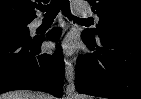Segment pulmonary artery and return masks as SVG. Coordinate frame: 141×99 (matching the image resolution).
I'll return each instance as SVG.
<instances>
[{"instance_id":"obj_1","label":"pulmonary artery","mask_w":141,"mask_h":99,"mask_svg":"<svg viewBox=\"0 0 141 99\" xmlns=\"http://www.w3.org/2000/svg\"><path fill=\"white\" fill-rule=\"evenodd\" d=\"M73 9H74V12L76 14H80V15H88L89 14L88 10L84 6H82L80 4L74 5ZM96 20H98L97 17H96ZM41 24H42V21L41 20H35L33 22V27L34 28H38V27L41 26Z\"/></svg>"}]
</instances>
